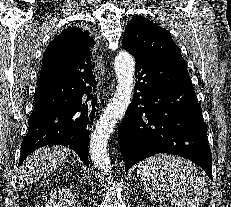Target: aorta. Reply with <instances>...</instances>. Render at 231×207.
Instances as JSON below:
<instances>
[{
    "label": "aorta",
    "instance_id": "aorta-1",
    "mask_svg": "<svg viewBox=\"0 0 231 207\" xmlns=\"http://www.w3.org/2000/svg\"><path fill=\"white\" fill-rule=\"evenodd\" d=\"M117 87L111 102L96 123L90 139V157L95 166L103 173L112 171L107 152V142L119 120L124 116L131 103L134 90L135 61L126 51L119 52L114 60Z\"/></svg>",
    "mask_w": 231,
    "mask_h": 207
}]
</instances>
